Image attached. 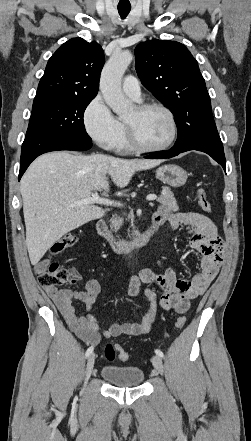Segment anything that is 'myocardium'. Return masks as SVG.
Wrapping results in <instances>:
<instances>
[{
    "mask_svg": "<svg viewBox=\"0 0 251 441\" xmlns=\"http://www.w3.org/2000/svg\"><path fill=\"white\" fill-rule=\"evenodd\" d=\"M135 108L137 109L138 112H144L149 109H159V110L163 111L168 116V118L170 120L172 132H171V136L168 139V141L166 143H164L163 145L147 146L144 143H142V141L139 139L134 127L130 123H128L127 121L124 120L126 135H127V139L129 141L130 145L134 149L141 151V152H161V151H165L169 147H171L173 145V143L175 142L177 135H178V125H177V121H176V118H175L173 112L167 106H165L164 104L158 103V102H142V103L137 104L135 106Z\"/></svg>",
    "mask_w": 251,
    "mask_h": 441,
    "instance_id": "myocardium-1",
    "label": "myocardium"
}]
</instances>
